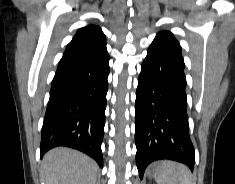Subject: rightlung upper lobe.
Returning a JSON list of instances; mask_svg holds the SVG:
<instances>
[{
	"label": "right lung upper lobe",
	"instance_id": "obj_1",
	"mask_svg": "<svg viewBox=\"0 0 235 184\" xmlns=\"http://www.w3.org/2000/svg\"><path fill=\"white\" fill-rule=\"evenodd\" d=\"M108 55L106 38L101 28L88 25L80 28L67 45L63 57L96 58Z\"/></svg>",
	"mask_w": 235,
	"mask_h": 184
}]
</instances>
